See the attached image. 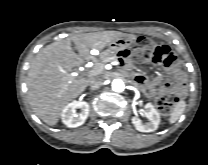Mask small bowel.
I'll list each match as a JSON object with an SVG mask.
<instances>
[{"mask_svg":"<svg viewBox=\"0 0 208 165\" xmlns=\"http://www.w3.org/2000/svg\"><path fill=\"white\" fill-rule=\"evenodd\" d=\"M124 73L127 75H132L135 83L141 86L149 97H152L155 95V92H156L155 86L156 84L160 82L161 80L160 78H157L155 79V81L150 82L142 73H131L128 67L124 68ZM171 73L177 80L179 81L182 80L183 75L177 69H173Z\"/></svg>","mask_w":208,"mask_h":165,"instance_id":"c3829d8e","label":"small bowel"}]
</instances>
